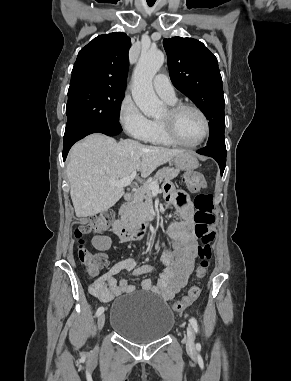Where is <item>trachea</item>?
Masks as SVG:
<instances>
[{
  "instance_id": "3493384b",
  "label": "trachea",
  "mask_w": 291,
  "mask_h": 381,
  "mask_svg": "<svg viewBox=\"0 0 291 381\" xmlns=\"http://www.w3.org/2000/svg\"><path fill=\"white\" fill-rule=\"evenodd\" d=\"M154 3H155V0L154 1H149V0H147V4H148V6H153L154 5Z\"/></svg>"
}]
</instances>
